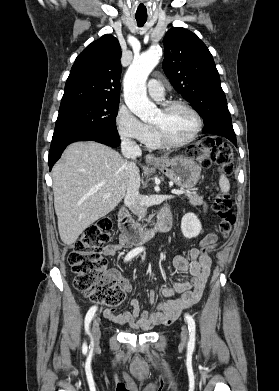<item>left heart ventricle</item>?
Segmentation results:
<instances>
[{
	"instance_id": "obj_1",
	"label": "left heart ventricle",
	"mask_w": 279,
	"mask_h": 391,
	"mask_svg": "<svg viewBox=\"0 0 279 391\" xmlns=\"http://www.w3.org/2000/svg\"><path fill=\"white\" fill-rule=\"evenodd\" d=\"M152 123L162 126L168 138L176 142L186 140L196 127L195 117L184 107H174L167 113L160 109Z\"/></svg>"
}]
</instances>
